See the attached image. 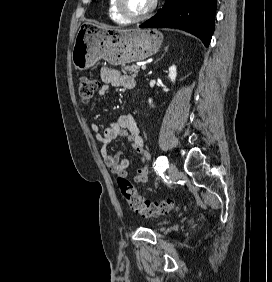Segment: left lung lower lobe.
<instances>
[{
	"instance_id": "1",
	"label": "left lung lower lobe",
	"mask_w": 272,
	"mask_h": 282,
	"mask_svg": "<svg viewBox=\"0 0 272 282\" xmlns=\"http://www.w3.org/2000/svg\"><path fill=\"white\" fill-rule=\"evenodd\" d=\"M216 0H166L164 7L141 28H177L209 46L214 31Z\"/></svg>"
}]
</instances>
